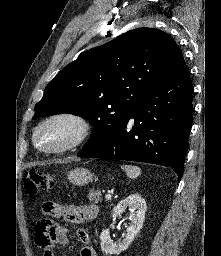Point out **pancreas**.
<instances>
[{
  "label": "pancreas",
  "mask_w": 221,
  "mask_h": 256,
  "mask_svg": "<svg viewBox=\"0 0 221 256\" xmlns=\"http://www.w3.org/2000/svg\"><path fill=\"white\" fill-rule=\"evenodd\" d=\"M88 199L90 202L98 204L102 201V194L99 190H90Z\"/></svg>",
  "instance_id": "pancreas-1"
}]
</instances>
